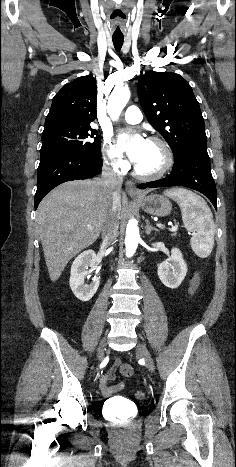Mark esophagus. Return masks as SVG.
<instances>
[{
  "label": "esophagus",
  "mask_w": 236,
  "mask_h": 467,
  "mask_svg": "<svg viewBox=\"0 0 236 467\" xmlns=\"http://www.w3.org/2000/svg\"><path fill=\"white\" fill-rule=\"evenodd\" d=\"M126 192L129 195H136V196L140 195V192L137 190L135 183L130 180L126 182Z\"/></svg>",
  "instance_id": "1"
}]
</instances>
